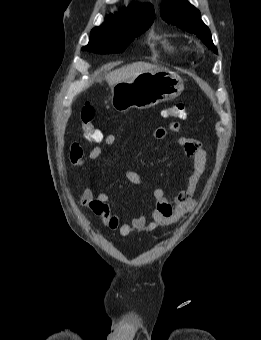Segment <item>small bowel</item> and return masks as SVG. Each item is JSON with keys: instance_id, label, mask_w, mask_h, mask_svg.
I'll return each instance as SVG.
<instances>
[{"instance_id": "obj_1", "label": "small bowel", "mask_w": 261, "mask_h": 340, "mask_svg": "<svg viewBox=\"0 0 261 340\" xmlns=\"http://www.w3.org/2000/svg\"><path fill=\"white\" fill-rule=\"evenodd\" d=\"M170 130L176 133L181 131L179 124L176 122L170 123ZM153 135L157 139H163L167 135V130L164 127H157ZM116 140L117 135L114 133L104 136L103 145L94 147L87 155L84 154L83 148L78 143H73L69 150L70 161L74 166L78 167L93 163L101 156L103 148L113 145ZM177 141L184 148L186 156L192 160V172L187 178L186 187L176 195L173 202L166 198L162 188L154 189L155 206L151 212L150 220L140 216L129 221H121L109 207V194L105 191H94L91 187H87L83 191L80 198L81 205L100 217L105 227L118 231L123 237L129 236L133 231L152 232L159 227L176 223L185 214L194 209V193L208 162L207 152L198 140L179 136ZM124 173L129 182L142 185V179L138 173L127 168H124Z\"/></svg>"}]
</instances>
